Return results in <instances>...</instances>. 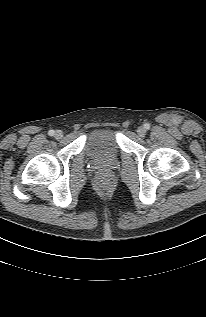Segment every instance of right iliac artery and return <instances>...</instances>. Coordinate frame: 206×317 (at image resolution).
<instances>
[{"mask_svg": "<svg viewBox=\"0 0 206 317\" xmlns=\"http://www.w3.org/2000/svg\"><path fill=\"white\" fill-rule=\"evenodd\" d=\"M48 134H49L50 136H54L55 131H54V130H49Z\"/></svg>", "mask_w": 206, "mask_h": 317, "instance_id": "1", "label": "right iliac artery"}]
</instances>
